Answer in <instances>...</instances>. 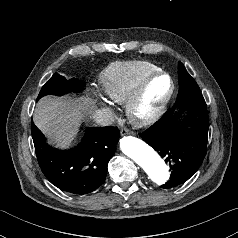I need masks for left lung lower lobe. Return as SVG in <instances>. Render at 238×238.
<instances>
[{
	"label": "left lung lower lobe",
	"instance_id": "obj_1",
	"mask_svg": "<svg viewBox=\"0 0 238 238\" xmlns=\"http://www.w3.org/2000/svg\"><path fill=\"white\" fill-rule=\"evenodd\" d=\"M208 127L207 108L178 109L166 112L139 134L170 165V179L163 188L183 184L198 170L206 152Z\"/></svg>",
	"mask_w": 238,
	"mask_h": 238
}]
</instances>
